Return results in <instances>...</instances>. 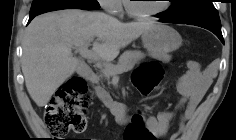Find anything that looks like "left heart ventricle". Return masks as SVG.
Returning a JSON list of instances; mask_svg holds the SVG:
<instances>
[{
  "label": "left heart ventricle",
  "instance_id": "b2bd125f",
  "mask_svg": "<svg viewBox=\"0 0 236 140\" xmlns=\"http://www.w3.org/2000/svg\"><path fill=\"white\" fill-rule=\"evenodd\" d=\"M132 7L139 12H151L161 8L164 2L158 0H136L131 2Z\"/></svg>",
  "mask_w": 236,
  "mask_h": 140
}]
</instances>
